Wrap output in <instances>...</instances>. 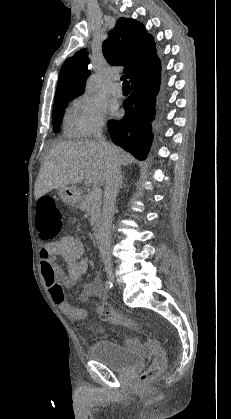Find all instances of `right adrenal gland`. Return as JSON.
<instances>
[{
  "label": "right adrenal gland",
  "instance_id": "2a0ac1e0",
  "mask_svg": "<svg viewBox=\"0 0 231 419\" xmlns=\"http://www.w3.org/2000/svg\"><path fill=\"white\" fill-rule=\"evenodd\" d=\"M123 179H124V175H122L121 180H120V188H123V186H125V185L123 184Z\"/></svg>",
  "mask_w": 231,
  "mask_h": 419
}]
</instances>
